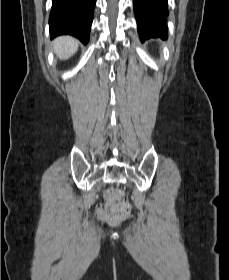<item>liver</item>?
<instances>
[{
  "mask_svg": "<svg viewBox=\"0 0 229 280\" xmlns=\"http://www.w3.org/2000/svg\"><path fill=\"white\" fill-rule=\"evenodd\" d=\"M54 51L56 55L64 60L71 57L78 48V41L70 36H62L54 40Z\"/></svg>",
  "mask_w": 229,
  "mask_h": 280,
  "instance_id": "1",
  "label": "liver"
}]
</instances>
